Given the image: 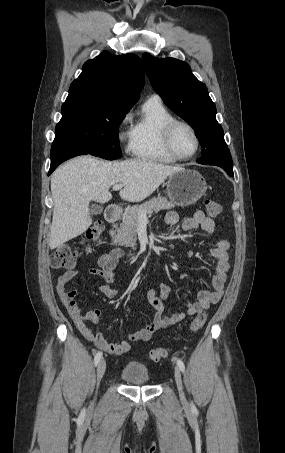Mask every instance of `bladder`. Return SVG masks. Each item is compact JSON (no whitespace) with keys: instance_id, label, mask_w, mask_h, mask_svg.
Masks as SVG:
<instances>
[{"instance_id":"1","label":"bladder","mask_w":285,"mask_h":453,"mask_svg":"<svg viewBox=\"0 0 285 453\" xmlns=\"http://www.w3.org/2000/svg\"><path fill=\"white\" fill-rule=\"evenodd\" d=\"M121 378L133 385H145L150 381L148 369L137 362L127 363L121 370Z\"/></svg>"}]
</instances>
